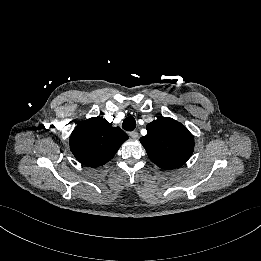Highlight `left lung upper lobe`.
I'll list each match as a JSON object with an SVG mask.
<instances>
[{"label": "left lung upper lobe", "mask_w": 261, "mask_h": 261, "mask_svg": "<svg viewBox=\"0 0 261 261\" xmlns=\"http://www.w3.org/2000/svg\"><path fill=\"white\" fill-rule=\"evenodd\" d=\"M147 135L140 138L150 160L162 169L184 165L194 149L192 134L172 118H158L147 125Z\"/></svg>", "instance_id": "1"}]
</instances>
